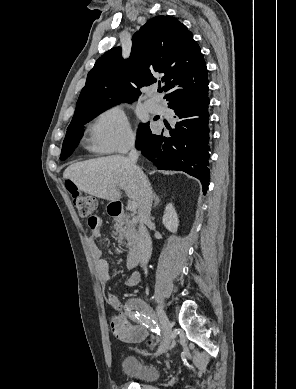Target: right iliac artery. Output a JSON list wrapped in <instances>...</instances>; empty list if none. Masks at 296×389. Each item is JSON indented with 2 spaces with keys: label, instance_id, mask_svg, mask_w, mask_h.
Returning a JSON list of instances; mask_svg holds the SVG:
<instances>
[{
  "label": "right iliac artery",
  "instance_id": "right-iliac-artery-1",
  "mask_svg": "<svg viewBox=\"0 0 296 389\" xmlns=\"http://www.w3.org/2000/svg\"><path fill=\"white\" fill-rule=\"evenodd\" d=\"M128 315L133 320H138L151 331L160 334V329L156 322L150 318L151 308L140 299H132L127 305Z\"/></svg>",
  "mask_w": 296,
  "mask_h": 389
}]
</instances>
